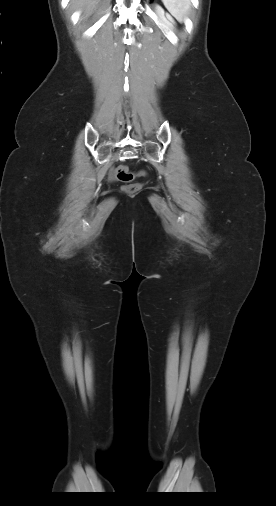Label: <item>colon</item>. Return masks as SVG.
I'll use <instances>...</instances> for the list:
<instances>
[{
    "label": "colon",
    "mask_w": 276,
    "mask_h": 506,
    "mask_svg": "<svg viewBox=\"0 0 276 506\" xmlns=\"http://www.w3.org/2000/svg\"><path fill=\"white\" fill-rule=\"evenodd\" d=\"M115 173L118 180L125 183L124 186L125 191L134 193L140 190L141 186L139 184L130 183L133 180L134 175L128 170L127 166L125 165L117 166Z\"/></svg>",
    "instance_id": "colon-1"
}]
</instances>
